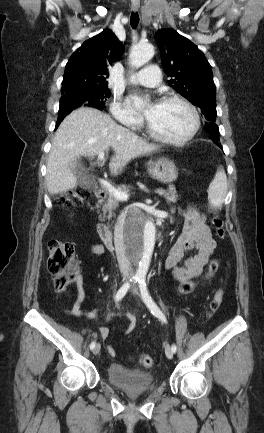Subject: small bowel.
Returning a JSON list of instances; mask_svg holds the SVG:
<instances>
[{"label": "small bowel", "instance_id": "small-bowel-1", "mask_svg": "<svg viewBox=\"0 0 264 433\" xmlns=\"http://www.w3.org/2000/svg\"><path fill=\"white\" fill-rule=\"evenodd\" d=\"M182 231L177 238V241L170 248L165 259V267L173 271L175 279L179 282L189 281L192 278L199 276L208 263L211 255L216 248V242L212 238L211 231L206 224V217L193 207L187 208L182 216ZM92 254H102L104 247L95 243L89 248ZM194 252L190 257H186L187 253ZM77 294L72 309L67 310L69 315H91L81 308L85 299V291L83 287V278L81 274L76 276ZM135 324V318L131 317V325L127 332H130ZM101 339H106L109 335L107 327H100L97 331ZM108 353L111 356L115 355L113 347H107Z\"/></svg>", "mask_w": 264, "mask_h": 433}]
</instances>
